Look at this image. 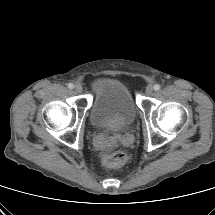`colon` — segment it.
Masks as SVG:
<instances>
[{
	"label": "colon",
	"mask_w": 215,
	"mask_h": 215,
	"mask_svg": "<svg viewBox=\"0 0 215 215\" xmlns=\"http://www.w3.org/2000/svg\"><path fill=\"white\" fill-rule=\"evenodd\" d=\"M127 158V154L124 151L119 150L104 156L103 164L107 168H118L127 161Z\"/></svg>",
	"instance_id": "5ec220e1"
}]
</instances>
